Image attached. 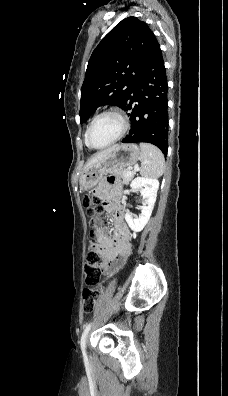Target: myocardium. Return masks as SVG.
Masks as SVG:
<instances>
[{"label":"myocardium","mask_w":228,"mask_h":396,"mask_svg":"<svg viewBox=\"0 0 228 396\" xmlns=\"http://www.w3.org/2000/svg\"><path fill=\"white\" fill-rule=\"evenodd\" d=\"M106 115L116 116L121 123V130H120L119 134L111 142L107 143L104 146L96 147V146L92 145L90 142V134H91L92 128H93L94 124L96 123V121ZM128 129H129V120L122 110H120L118 108L106 109V110L100 112L99 114H97L92 119L90 125L88 126V129L86 132V144L88 147L95 149V150L105 149V148L115 144L119 140H121L124 137V135L126 134V132L128 131Z\"/></svg>","instance_id":"f54148a6"}]
</instances>
